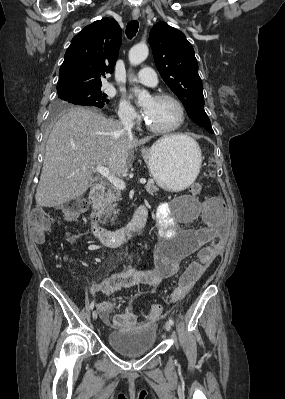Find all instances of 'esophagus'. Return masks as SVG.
Listing matches in <instances>:
<instances>
[{
    "label": "esophagus",
    "mask_w": 285,
    "mask_h": 399,
    "mask_svg": "<svg viewBox=\"0 0 285 399\" xmlns=\"http://www.w3.org/2000/svg\"><path fill=\"white\" fill-rule=\"evenodd\" d=\"M139 15H140V10H139L138 7H135V8L133 9V12H132V17H133V19H137V18L139 17Z\"/></svg>",
    "instance_id": "34e87169"
}]
</instances>
